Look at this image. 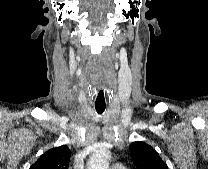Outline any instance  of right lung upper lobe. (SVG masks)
<instances>
[{
	"instance_id": "right-lung-upper-lobe-1",
	"label": "right lung upper lobe",
	"mask_w": 208,
	"mask_h": 169,
	"mask_svg": "<svg viewBox=\"0 0 208 169\" xmlns=\"http://www.w3.org/2000/svg\"><path fill=\"white\" fill-rule=\"evenodd\" d=\"M71 151L66 145L52 148L40 156L30 169H68Z\"/></svg>"
}]
</instances>
